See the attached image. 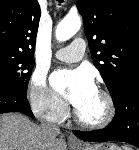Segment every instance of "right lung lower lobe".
<instances>
[{"instance_id": "1", "label": "right lung lower lobe", "mask_w": 139, "mask_h": 150, "mask_svg": "<svg viewBox=\"0 0 139 150\" xmlns=\"http://www.w3.org/2000/svg\"><path fill=\"white\" fill-rule=\"evenodd\" d=\"M7 112H20L34 118L26 93L0 87V114Z\"/></svg>"}]
</instances>
